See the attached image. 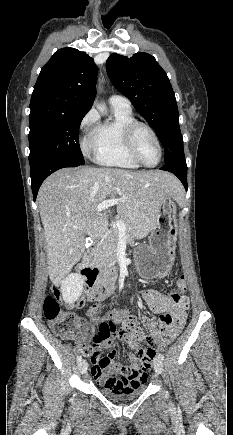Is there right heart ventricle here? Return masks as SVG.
<instances>
[{
	"label": "right heart ventricle",
	"instance_id": "1",
	"mask_svg": "<svg viewBox=\"0 0 233 435\" xmlns=\"http://www.w3.org/2000/svg\"><path fill=\"white\" fill-rule=\"evenodd\" d=\"M114 116L97 124L91 138L95 144L98 164L125 169H138L125 145L124 128L135 120L131 109L113 106Z\"/></svg>",
	"mask_w": 233,
	"mask_h": 435
}]
</instances>
